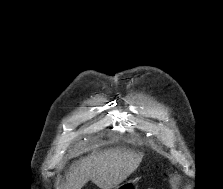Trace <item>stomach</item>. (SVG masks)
I'll list each match as a JSON object with an SVG mask.
<instances>
[{"label":"stomach","mask_w":223,"mask_h":189,"mask_svg":"<svg viewBox=\"0 0 223 189\" xmlns=\"http://www.w3.org/2000/svg\"><path fill=\"white\" fill-rule=\"evenodd\" d=\"M138 187V180H129L126 181L118 186H116L114 189H137Z\"/></svg>","instance_id":"1"}]
</instances>
